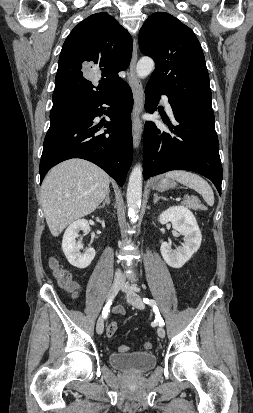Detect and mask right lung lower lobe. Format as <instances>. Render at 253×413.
Instances as JSON below:
<instances>
[{
  "instance_id": "98d812e1",
  "label": "right lung lower lobe",
  "mask_w": 253,
  "mask_h": 413,
  "mask_svg": "<svg viewBox=\"0 0 253 413\" xmlns=\"http://www.w3.org/2000/svg\"><path fill=\"white\" fill-rule=\"evenodd\" d=\"M110 105L104 133L93 119ZM133 95L127 83L70 117L50 124L40 161V183L54 165L71 158L93 162L123 186L132 162L131 110Z\"/></svg>"
}]
</instances>
